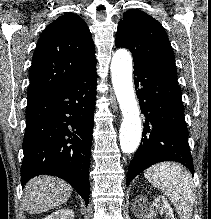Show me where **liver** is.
I'll list each match as a JSON object with an SVG mask.
<instances>
[{"mask_svg": "<svg viewBox=\"0 0 211 219\" xmlns=\"http://www.w3.org/2000/svg\"><path fill=\"white\" fill-rule=\"evenodd\" d=\"M73 188L64 180L53 176H38L24 188V206L29 214L47 212L67 202Z\"/></svg>", "mask_w": 211, "mask_h": 219, "instance_id": "obj_1", "label": "liver"}]
</instances>
